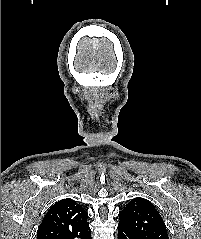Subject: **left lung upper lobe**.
Returning a JSON list of instances; mask_svg holds the SVG:
<instances>
[{
    "label": "left lung upper lobe",
    "instance_id": "1",
    "mask_svg": "<svg viewBox=\"0 0 201 239\" xmlns=\"http://www.w3.org/2000/svg\"><path fill=\"white\" fill-rule=\"evenodd\" d=\"M118 216L119 225L133 231L141 239H169L159 212L144 198L132 199Z\"/></svg>",
    "mask_w": 201,
    "mask_h": 239
}]
</instances>
